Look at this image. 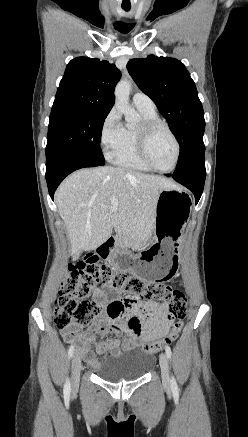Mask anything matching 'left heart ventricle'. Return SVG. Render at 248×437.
Instances as JSON below:
<instances>
[{
	"label": "left heart ventricle",
	"mask_w": 248,
	"mask_h": 437,
	"mask_svg": "<svg viewBox=\"0 0 248 437\" xmlns=\"http://www.w3.org/2000/svg\"><path fill=\"white\" fill-rule=\"evenodd\" d=\"M148 153L155 167L166 170L172 166L176 147L167 131L158 129L153 133L149 141Z\"/></svg>",
	"instance_id": "1"
}]
</instances>
